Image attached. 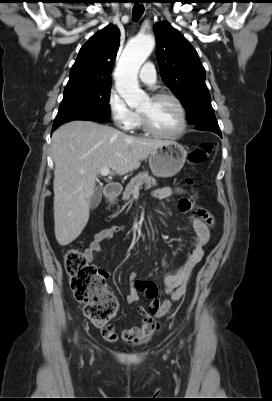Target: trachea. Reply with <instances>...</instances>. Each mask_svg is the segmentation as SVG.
Instances as JSON below:
<instances>
[{"instance_id": "1", "label": "trachea", "mask_w": 272, "mask_h": 401, "mask_svg": "<svg viewBox=\"0 0 272 401\" xmlns=\"http://www.w3.org/2000/svg\"><path fill=\"white\" fill-rule=\"evenodd\" d=\"M144 13V6L142 4H135L133 7L132 16L134 20H138Z\"/></svg>"}]
</instances>
